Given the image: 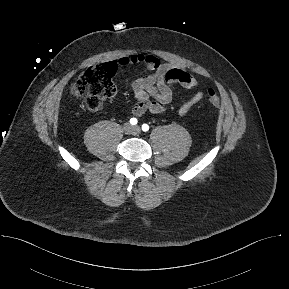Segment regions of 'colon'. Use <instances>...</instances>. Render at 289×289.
Masks as SVG:
<instances>
[{"label":"colon","mask_w":289,"mask_h":289,"mask_svg":"<svg viewBox=\"0 0 289 289\" xmlns=\"http://www.w3.org/2000/svg\"><path fill=\"white\" fill-rule=\"evenodd\" d=\"M114 72L113 64L90 67L72 84L71 93L76 97L84 98L90 110H100L104 100L115 94L116 89L112 81ZM207 97L212 106L219 107L220 99L213 89L207 90Z\"/></svg>","instance_id":"colon-1"}]
</instances>
